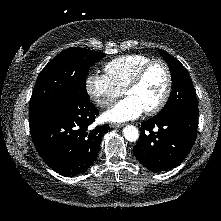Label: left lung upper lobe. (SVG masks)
I'll use <instances>...</instances> for the list:
<instances>
[{
    "instance_id": "5c2ea615",
    "label": "left lung upper lobe",
    "mask_w": 221,
    "mask_h": 221,
    "mask_svg": "<svg viewBox=\"0 0 221 221\" xmlns=\"http://www.w3.org/2000/svg\"><path fill=\"white\" fill-rule=\"evenodd\" d=\"M160 54L168 63L172 76L171 95L159 113L185 111L198 114V105L193 84L184 66L167 52L159 49Z\"/></svg>"
}]
</instances>
